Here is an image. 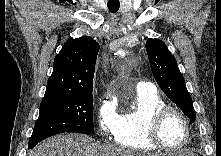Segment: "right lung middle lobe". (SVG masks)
I'll list each match as a JSON object with an SVG mask.
<instances>
[{
  "label": "right lung middle lobe",
  "instance_id": "1",
  "mask_svg": "<svg viewBox=\"0 0 221 156\" xmlns=\"http://www.w3.org/2000/svg\"><path fill=\"white\" fill-rule=\"evenodd\" d=\"M93 96L87 91L71 96L43 99L28 147L64 132L93 134Z\"/></svg>",
  "mask_w": 221,
  "mask_h": 156
}]
</instances>
